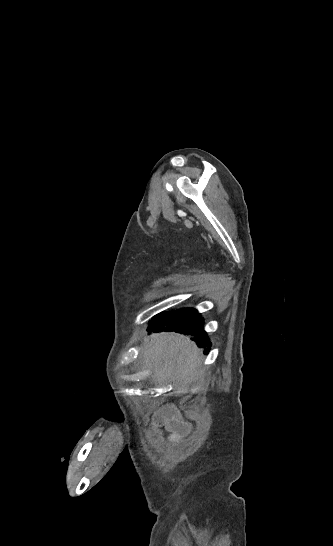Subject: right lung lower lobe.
<instances>
[{"label": "right lung lower lobe", "instance_id": "obj_1", "mask_svg": "<svg viewBox=\"0 0 333 546\" xmlns=\"http://www.w3.org/2000/svg\"><path fill=\"white\" fill-rule=\"evenodd\" d=\"M149 331H175L193 336L199 347H208L204 350L208 354L211 342L204 330V319L195 309L183 308L174 312L156 315L149 324Z\"/></svg>", "mask_w": 333, "mask_h": 546}]
</instances>
